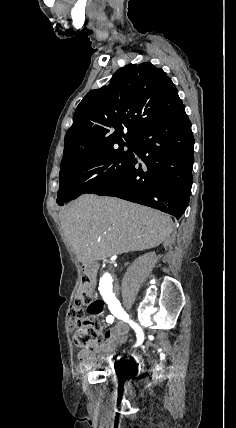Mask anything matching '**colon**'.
Masks as SVG:
<instances>
[{"label": "colon", "instance_id": "colon-1", "mask_svg": "<svg viewBox=\"0 0 236 428\" xmlns=\"http://www.w3.org/2000/svg\"><path fill=\"white\" fill-rule=\"evenodd\" d=\"M90 280L83 276L75 293V302L68 315V329L74 333L78 347L94 352L102 345L100 321L96 318L103 310L100 300H90Z\"/></svg>", "mask_w": 236, "mask_h": 428}]
</instances>
